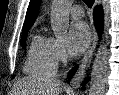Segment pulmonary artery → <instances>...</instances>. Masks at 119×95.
<instances>
[{"instance_id":"pulmonary-artery-1","label":"pulmonary artery","mask_w":119,"mask_h":95,"mask_svg":"<svg viewBox=\"0 0 119 95\" xmlns=\"http://www.w3.org/2000/svg\"><path fill=\"white\" fill-rule=\"evenodd\" d=\"M70 13L74 18H81L84 15L83 8L80 5H74L70 9Z\"/></svg>"}]
</instances>
